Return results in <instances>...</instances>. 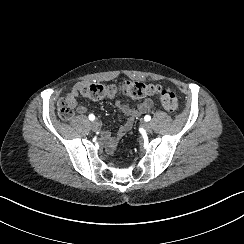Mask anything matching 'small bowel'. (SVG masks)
<instances>
[{"label":"small bowel","instance_id":"obj_1","mask_svg":"<svg viewBox=\"0 0 244 244\" xmlns=\"http://www.w3.org/2000/svg\"><path fill=\"white\" fill-rule=\"evenodd\" d=\"M81 85L82 84L80 83L75 84L73 88L66 95V99L74 107L76 106V101L80 93ZM152 106H153V102L150 99L143 100L136 107H132L129 104L125 103L124 101L117 99L115 101V107L117 111L122 117H128L124 125H122L118 130L117 136L123 137L132 128L133 119L140 114L149 112ZM76 110L80 115H84L87 113V108L84 105L76 106ZM109 141L110 144L112 145V139H110Z\"/></svg>","mask_w":244,"mask_h":244}]
</instances>
